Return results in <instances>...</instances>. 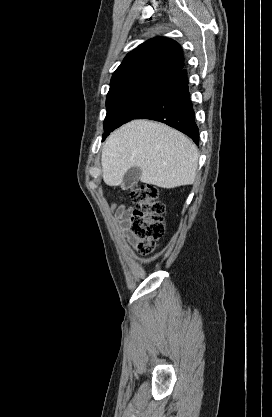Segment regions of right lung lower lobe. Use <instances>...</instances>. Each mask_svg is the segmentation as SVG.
<instances>
[{
  "instance_id": "right-lung-lower-lobe-1",
  "label": "right lung lower lobe",
  "mask_w": 272,
  "mask_h": 417,
  "mask_svg": "<svg viewBox=\"0 0 272 417\" xmlns=\"http://www.w3.org/2000/svg\"><path fill=\"white\" fill-rule=\"evenodd\" d=\"M186 70L168 80L155 98L134 119L163 122L185 133L198 144L199 130L188 92Z\"/></svg>"
}]
</instances>
